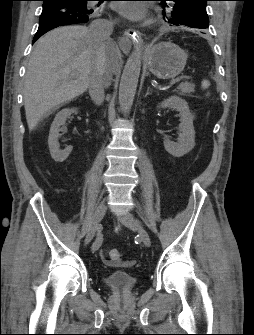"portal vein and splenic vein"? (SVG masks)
Returning a JSON list of instances; mask_svg holds the SVG:
<instances>
[{
	"label": "portal vein and splenic vein",
	"mask_w": 254,
	"mask_h": 335,
	"mask_svg": "<svg viewBox=\"0 0 254 335\" xmlns=\"http://www.w3.org/2000/svg\"><path fill=\"white\" fill-rule=\"evenodd\" d=\"M180 81V79L176 78V79H172L169 83L170 86H173L175 84H177Z\"/></svg>",
	"instance_id": "portal-vein-and-splenic-vein-1"
}]
</instances>
